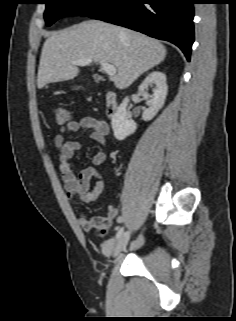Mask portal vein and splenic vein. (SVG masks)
Masks as SVG:
<instances>
[{"label": "portal vein and splenic vein", "mask_w": 236, "mask_h": 321, "mask_svg": "<svg viewBox=\"0 0 236 321\" xmlns=\"http://www.w3.org/2000/svg\"><path fill=\"white\" fill-rule=\"evenodd\" d=\"M72 64L74 65H78V66H85L88 65L90 63H92V59L91 58H83V59H79V60H73L71 61ZM103 71L109 75L110 77H114L116 75V67L114 65H111L105 61H100L99 62Z\"/></svg>", "instance_id": "1"}]
</instances>
